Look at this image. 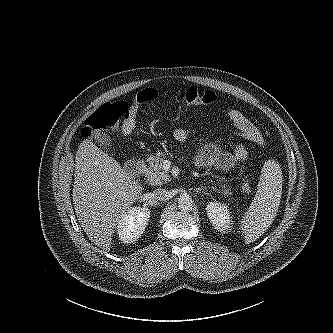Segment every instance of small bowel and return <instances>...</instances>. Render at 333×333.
<instances>
[{"mask_svg": "<svg viewBox=\"0 0 333 333\" xmlns=\"http://www.w3.org/2000/svg\"><path fill=\"white\" fill-rule=\"evenodd\" d=\"M225 112L237 138L248 140L260 147L264 146V136L244 113L231 107H227ZM188 136V131L184 128H176L173 132V137L179 142H185ZM248 157L249 153L242 144L236 143L229 152L216 144L207 143L198 149L195 162L198 167L213 166L221 170H230Z\"/></svg>", "mask_w": 333, "mask_h": 333, "instance_id": "1", "label": "small bowel"}]
</instances>
